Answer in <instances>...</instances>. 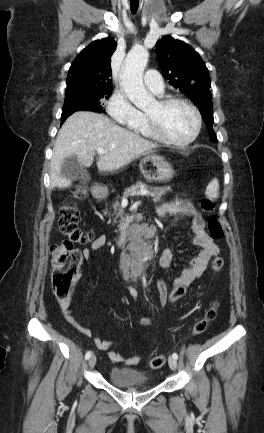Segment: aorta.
I'll return each mask as SVG.
<instances>
[{
	"label": "aorta",
	"instance_id": "762f6f07",
	"mask_svg": "<svg viewBox=\"0 0 264 433\" xmlns=\"http://www.w3.org/2000/svg\"><path fill=\"white\" fill-rule=\"evenodd\" d=\"M149 58L148 51L141 47H134L128 53L122 74V85L128 99L137 107L145 108L153 98L148 95L143 84V72Z\"/></svg>",
	"mask_w": 264,
	"mask_h": 433
}]
</instances>
